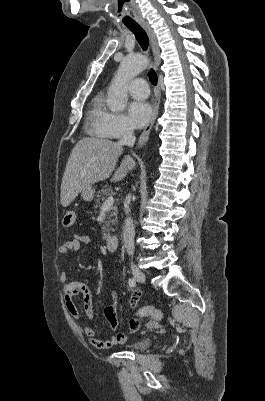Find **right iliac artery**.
I'll use <instances>...</instances> for the list:
<instances>
[{"instance_id": "right-iliac-artery-1", "label": "right iliac artery", "mask_w": 265, "mask_h": 401, "mask_svg": "<svg viewBox=\"0 0 265 401\" xmlns=\"http://www.w3.org/2000/svg\"><path fill=\"white\" fill-rule=\"evenodd\" d=\"M128 284H129L130 287H133V288L136 287L135 279L134 278H129Z\"/></svg>"}]
</instances>
